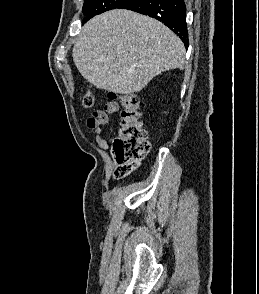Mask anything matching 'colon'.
<instances>
[{
	"instance_id": "colon-1",
	"label": "colon",
	"mask_w": 259,
	"mask_h": 294,
	"mask_svg": "<svg viewBox=\"0 0 259 294\" xmlns=\"http://www.w3.org/2000/svg\"><path fill=\"white\" fill-rule=\"evenodd\" d=\"M117 97L115 94L110 95L111 99ZM119 99L122 113L117 137L113 144V153L117 164L114 176L122 179L139 166L150 150V142L147 131L143 127L138 97L128 93L120 95ZM82 105L85 109H90L95 105V98L90 91L83 95Z\"/></svg>"
}]
</instances>
